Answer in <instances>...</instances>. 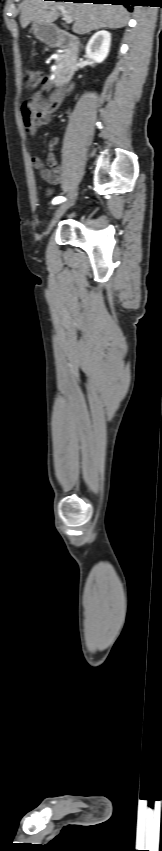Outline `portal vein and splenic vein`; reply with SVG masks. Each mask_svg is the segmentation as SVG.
<instances>
[{"mask_svg":"<svg viewBox=\"0 0 162 851\" xmlns=\"http://www.w3.org/2000/svg\"><path fill=\"white\" fill-rule=\"evenodd\" d=\"M59 10L61 11V13L63 15V19L65 20V22L67 24H70V23L73 22L74 18L71 15H69V13L66 11V9L64 7H59Z\"/></svg>","mask_w":162,"mask_h":851,"instance_id":"portal-vein-and-splenic-vein-1","label":"portal vein and splenic vein"}]
</instances>
